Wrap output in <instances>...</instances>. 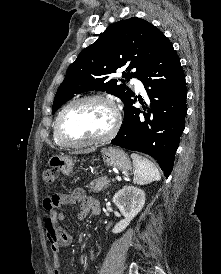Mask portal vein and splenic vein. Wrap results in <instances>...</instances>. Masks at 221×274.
Masks as SVG:
<instances>
[{"label":"portal vein and splenic vein","instance_id":"portal-vein-and-splenic-vein-1","mask_svg":"<svg viewBox=\"0 0 221 274\" xmlns=\"http://www.w3.org/2000/svg\"><path fill=\"white\" fill-rule=\"evenodd\" d=\"M116 179H117L118 181H121V180H122L120 176H116Z\"/></svg>","mask_w":221,"mask_h":274}]
</instances>
